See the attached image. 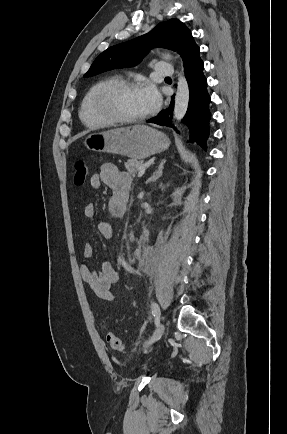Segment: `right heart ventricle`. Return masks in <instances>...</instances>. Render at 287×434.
Instances as JSON below:
<instances>
[{
  "instance_id": "e07e8e85",
  "label": "right heart ventricle",
  "mask_w": 287,
  "mask_h": 434,
  "mask_svg": "<svg viewBox=\"0 0 287 434\" xmlns=\"http://www.w3.org/2000/svg\"><path fill=\"white\" fill-rule=\"evenodd\" d=\"M118 79L117 76L104 78L92 85L81 100L79 107V117L81 121L89 127H104L110 123L100 117L94 109L93 100L98 89L110 80Z\"/></svg>"
}]
</instances>
